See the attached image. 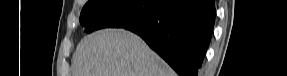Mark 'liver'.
I'll list each match as a JSON object with an SVG mask.
<instances>
[{
  "label": "liver",
  "instance_id": "6515ba94",
  "mask_svg": "<svg viewBox=\"0 0 287 76\" xmlns=\"http://www.w3.org/2000/svg\"><path fill=\"white\" fill-rule=\"evenodd\" d=\"M72 76H176L137 35L104 29L85 36L72 57Z\"/></svg>",
  "mask_w": 287,
  "mask_h": 76
}]
</instances>
